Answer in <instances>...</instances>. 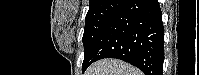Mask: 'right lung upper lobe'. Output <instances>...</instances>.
<instances>
[{"instance_id": "obj_1", "label": "right lung upper lobe", "mask_w": 199, "mask_h": 75, "mask_svg": "<svg viewBox=\"0 0 199 75\" xmlns=\"http://www.w3.org/2000/svg\"><path fill=\"white\" fill-rule=\"evenodd\" d=\"M106 1H108V0H90L89 1V8H92V7L96 6V5L102 4V3L106 2Z\"/></svg>"}]
</instances>
